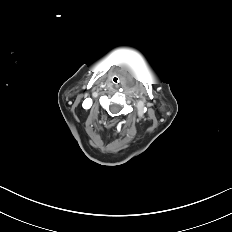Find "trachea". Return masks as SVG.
Masks as SVG:
<instances>
[{"label":"trachea","mask_w":232,"mask_h":232,"mask_svg":"<svg viewBox=\"0 0 232 232\" xmlns=\"http://www.w3.org/2000/svg\"><path fill=\"white\" fill-rule=\"evenodd\" d=\"M110 80L114 85H118L120 83V77L117 75H113Z\"/></svg>","instance_id":"1"}]
</instances>
